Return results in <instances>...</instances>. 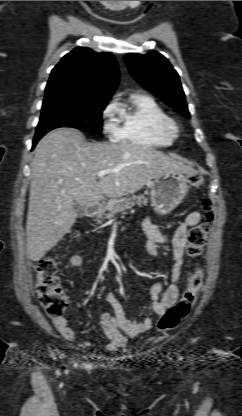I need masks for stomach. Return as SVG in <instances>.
<instances>
[{"label":"stomach","mask_w":242,"mask_h":416,"mask_svg":"<svg viewBox=\"0 0 242 416\" xmlns=\"http://www.w3.org/2000/svg\"><path fill=\"white\" fill-rule=\"evenodd\" d=\"M188 177L179 171H163L150 182L151 206L164 215L175 209L188 191Z\"/></svg>","instance_id":"obj_1"}]
</instances>
